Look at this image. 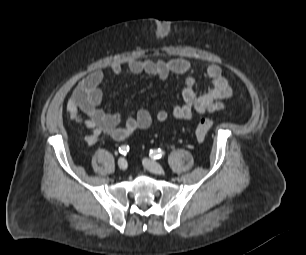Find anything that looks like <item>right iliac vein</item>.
Returning a JSON list of instances; mask_svg holds the SVG:
<instances>
[{
    "instance_id": "63e3f726",
    "label": "right iliac vein",
    "mask_w": 306,
    "mask_h": 255,
    "mask_svg": "<svg viewBox=\"0 0 306 255\" xmlns=\"http://www.w3.org/2000/svg\"><path fill=\"white\" fill-rule=\"evenodd\" d=\"M118 167L121 169V170H125L127 168V161L125 158H120L118 160Z\"/></svg>"
}]
</instances>
